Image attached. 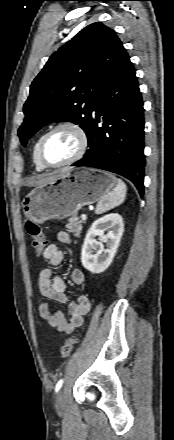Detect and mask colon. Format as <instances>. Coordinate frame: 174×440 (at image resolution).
<instances>
[{"label":"colon","instance_id":"obj_1","mask_svg":"<svg viewBox=\"0 0 174 440\" xmlns=\"http://www.w3.org/2000/svg\"><path fill=\"white\" fill-rule=\"evenodd\" d=\"M26 230L31 238V247L33 252L36 255H39L46 246L45 236L42 232L41 227L34 222L28 221L26 223ZM76 342L77 336L73 335L69 337L61 347V357L67 358L71 354Z\"/></svg>","mask_w":174,"mask_h":440}]
</instances>
